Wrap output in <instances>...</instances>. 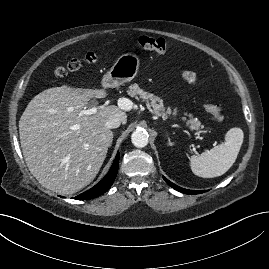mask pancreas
<instances>
[{
    "mask_svg": "<svg viewBox=\"0 0 269 269\" xmlns=\"http://www.w3.org/2000/svg\"><path fill=\"white\" fill-rule=\"evenodd\" d=\"M128 94L131 97L136 99L140 98L142 101H145L148 110L156 116H162L163 118H166L167 114L170 113V109L165 112V106L162 99H160L158 96L153 95L152 93L144 91L137 84H131L129 86ZM187 124L190 125L191 130H198L201 126L200 121L194 118H191Z\"/></svg>",
    "mask_w": 269,
    "mask_h": 269,
    "instance_id": "cf45deb5",
    "label": "pancreas"
}]
</instances>
